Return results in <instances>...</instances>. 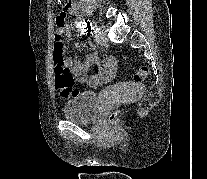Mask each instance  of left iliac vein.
Instances as JSON below:
<instances>
[{
    "label": "left iliac vein",
    "mask_w": 207,
    "mask_h": 179,
    "mask_svg": "<svg viewBox=\"0 0 207 179\" xmlns=\"http://www.w3.org/2000/svg\"><path fill=\"white\" fill-rule=\"evenodd\" d=\"M95 41L98 44H105L107 42V36L101 25H98L96 28Z\"/></svg>",
    "instance_id": "left-iliac-vein-1"
}]
</instances>
